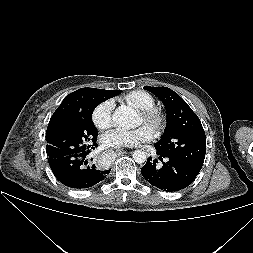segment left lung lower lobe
<instances>
[{"mask_svg": "<svg viewBox=\"0 0 253 253\" xmlns=\"http://www.w3.org/2000/svg\"><path fill=\"white\" fill-rule=\"evenodd\" d=\"M157 155L162 162L161 167L156 165L157 159L152 160L150 157L141 169L142 176L152 186L163 191L175 192L188 187L198 175L193 169L172 157L158 152Z\"/></svg>", "mask_w": 253, "mask_h": 253, "instance_id": "obj_1", "label": "left lung lower lobe"}]
</instances>
